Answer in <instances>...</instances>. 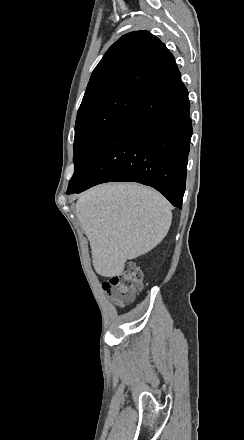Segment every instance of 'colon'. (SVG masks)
Returning <instances> with one entry per match:
<instances>
[{
  "label": "colon",
  "mask_w": 244,
  "mask_h": 440,
  "mask_svg": "<svg viewBox=\"0 0 244 440\" xmlns=\"http://www.w3.org/2000/svg\"><path fill=\"white\" fill-rule=\"evenodd\" d=\"M142 282L143 276L137 265L127 262L122 272L105 278L101 286L105 295L113 297L118 305L123 306L139 290Z\"/></svg>",
  "instance_id": "5ec220e1"
}]
</instances>
